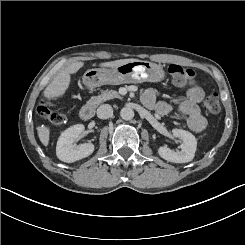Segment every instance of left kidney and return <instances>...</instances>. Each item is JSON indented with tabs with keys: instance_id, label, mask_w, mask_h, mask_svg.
<instances>
[{
	"instance_id": "5707ae66",
	"label": "left kidney",
	"mask_w": 245,
	"mask_h": 245,
	"mask_svg": "<svg viewBox=\"0 0 245 245\" xmlns=\"http://www.w3.org/2000/svg\"><path fill=\"white\" fill-rule=\"evenodd\" d=\"M172 134L182 141V144L180 145L181 151H174L163 146L158 149L160 157L174 163H186L192 161L197 148L195 136L182 129H173Z\"/></svg>"
}]
</instances>
